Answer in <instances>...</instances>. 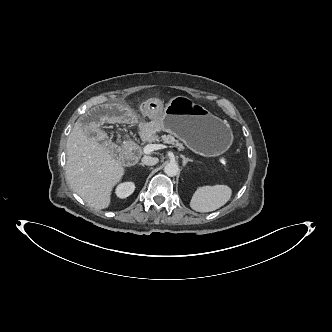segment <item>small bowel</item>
Wrapping results in <instances>:
<instances>
[{"label": "small bowel", "mask_w": 332, "mask_h": 332, "mask_svg": "<svg viewBox=\"0 0 332 332\" xmlns=\"http://www.w3.org/2000/svg\"><path fill=\"white\" fill-rule=\"evenodd\" d=\"M164 103L160 99L144 100L140 104L142 112L149 118L157 119L161 116ZM137 117L130 115V112L124 106H118L115 103H95L90 111L84 112L79 117V127L83 136L88 141H97L102 136L103 123L113 125L114 127L135 126Z\"/></svg>", "instance_id": "1"}]
</instances>
